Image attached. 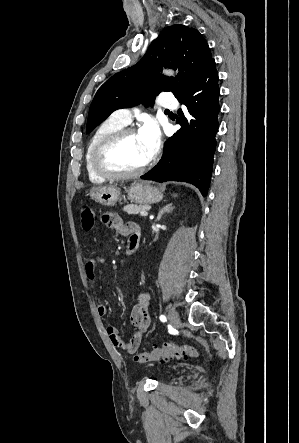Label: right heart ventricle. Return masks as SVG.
<instances>
[{"instance_id":"e07e8e85","label":"right heart ventricle","mask_w":299,"mask_h":443,"mask_svg":"<svg viewBox=\"0 0 299 443\" xmlns=\"http://www.w3.org/2000/svg\"><path fill=\"white\" fill-rule=\"evenodd\" d=\"M125 125L119 123L112 117L104 120L92 133L85 150V168L88 178L93 183H102L105 178L99 175L93 167V153L96 146L111 133L123 128Z\"/></svg>"}]
</instances>
